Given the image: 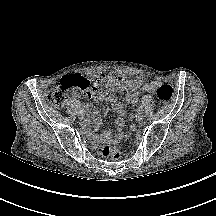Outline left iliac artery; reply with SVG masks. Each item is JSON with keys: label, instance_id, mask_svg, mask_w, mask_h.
<instances>
[{"label": "left iliac artery", "instance_id": "1", "mask_svg": "<svg viewBox=\"0 0 216 216\" xmlns=\"http://www.w3.org/2000/svg\"><path fill=\"white\" fill-rule=\"evenodd\" d=\"M136 112H137L136 117L139 118V114H140L142 111H141L140 109H138Z\"/></svg>", "mask_w": 216, "mask_h": 216}]
</instances>
